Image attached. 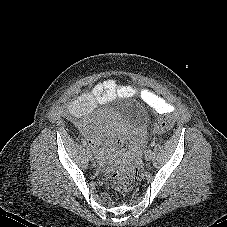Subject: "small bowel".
Instances as JSON below:
<instances>
[{
  "instance_id": "small-bowel-1",
  "label": "small bowel",
  "mask_w": 227,
  "mask_h": 227,
  "mask_svg": "<svg viewBox=\"0 0 227 227\" xmlns=\"http://www.w3.org/2000/svg\"><path fill=\"white\" fill-rule=\"evenodd\" d=\"M139 96L156 114L174 113L175 106L166 101L148 89L138 91L133 86H121L113 79H106L95 84L91 89L83 91L68 105L65 106L66 111H75L83 113L89 110L99 101L112 99L115 97L127 98ZM84 125V121L80 122ZM89 143L92 149L98 154H115L119 148V143L112 137L91 136Z\"/></svg>"
}]
</instances>
